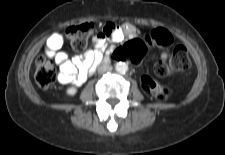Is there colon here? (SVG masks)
<instances>
[{
    "instance_id": "1",
    "label": "colon",
    "mask_w": 225,
    "mask_h": 155,
    "mask_svg": "<svg viewBox=\"0 0 225 155\" xmlns=\"http://www.w3.org/2000/svg\"><path fill=\"white\" fill-rule=\"evenodd\" d=\"M93 33V24L84 22L67 28L66 37L69 40L70 47L76 52L85 50L88 38ZM173 43L172 34L164 28H155L145 35V41L133 39L125 43L119 49L112 52L111 57L119 62L122 59L138 62L142 59L146 46H169ZM190 66V58L187 49L178 45L175 47L170 60L167 63L161 62L155 66V73L160 77H167L174 72H181ZM35 81L43 89L52 86L57 80V71L50 59L43 56L37 58L35 62ZM146 92L157 101H166L171 90L161 85L155 79L144 76L143 78Z\"/></svg>"
}]
</instances>
